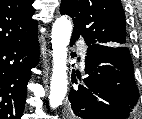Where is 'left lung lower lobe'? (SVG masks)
Here are the masks:
<instances>
[{"label": "left lung lower lobe", "mask_w": 142, "mask_h": 119, "mask_svg": "<svg viewBox=\"0 0 142 119\" xmlns=\"http://www.w3.org/2000/svg\"><path fill=\"white\" fill-rule=\"evenodd\" d=\"M79 37L72 34L71 45ZM85 72L69 93L73 113L81 119H125L139 99L133 63L126 46L88 45ZM78 75V74H77Z\"/></svg>", "instance_id": "0a47b994"}]
</instances>
